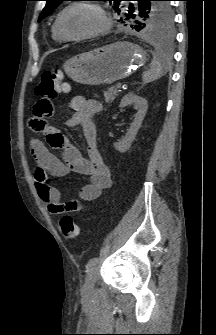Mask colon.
<instances>
[{
	"instance_id": "colon-1",
	"label": "colon",
	"mask_w": 216,
	"mask_h": 335,
	"mask_svg": "<svg viewBox=\"0 0 216 335\" xmlns=\"http://www.w3.org/2000/svg\"><path fill=\"white\" fill-rule=\"evenodd\" d=\"M67 90L68 86L63 82L62 72L60 70H48L43 72L41 81L35 89L36 94L41 98H49V96H52V100L54 101L61 91ZM54 139L55 138H51L50 143H53ZM59 229L65 238L71 240L76 239L82 232V227L70 215H64L60 219Z\"/></svg>"
}]
</instances>
